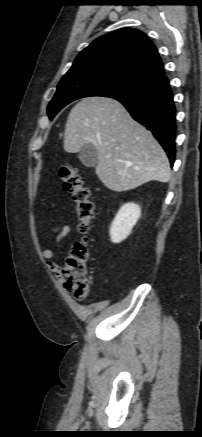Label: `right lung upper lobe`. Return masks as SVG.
Segmentation results:
<instances>
[{
    "instance_id": "cb5924a9",
    "label": "right lung upper lobe",
    "mask_w": 202,
    "mask_h": 437,
    "mask_svg": "<svg viewBox=\"0 0 202 437\" xmlns=\"http://www.w3.org/2000/svg\"><path fill=\"white\" fill-rule=\"evenodd\" d=\"M88 69L122 73L150 83L163 76L162 60L155 45L143 32L132 28L94 40L79 53L68 72Z\"/></svg>"
}]
</instances>
